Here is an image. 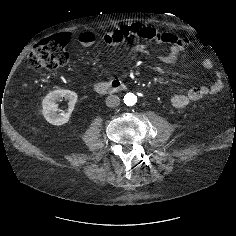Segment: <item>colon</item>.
<instances>
[{
	"label": "colon",
	"instance_id": "1",
	"mask_svg": "<svg viewBox=\"0 0 236 236\" xmlns=\"http://www.w3.org/2000/svg\"><path fill=\"white\" fill-rule=\"evenodd\" d=\"M66 42L59 35L42 40L28 54V65L33 69L47 70L65 65L69 60Z\"/></svg>",
	"mask_w": 236,
	"mask_h": 236
}]
</instances>
